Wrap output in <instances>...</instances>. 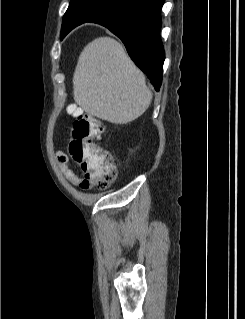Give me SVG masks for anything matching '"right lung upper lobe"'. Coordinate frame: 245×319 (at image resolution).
I'll return each instance as SVG.
<instances>
[{
	"label": "right lung upper lobe",
	"instance_id": "obj_1",
	"mask_svg": "<svg viewBox=\"0 0 245 319\" xmlns=\"http://www.w3.org/2000/svg\"><path fill=\"white\" fill-rule=\"evenodd\" d=\"M82 1L83 0H71L62 23V25H66L67 23H69V25L63 30V33H61L62 37L77 25L94 19V17L91 16L88 11L81 7Z\"/></svg>",
	"mask_w": 245,
	"mask_h": 319
}]
</instances>
